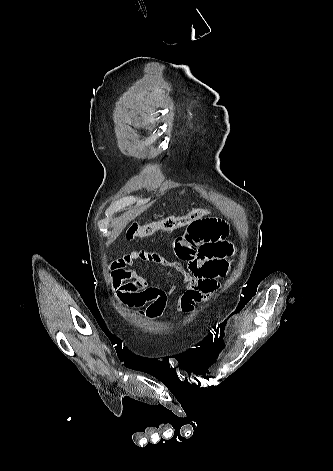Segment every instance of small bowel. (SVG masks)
<instances>
[{"label": "small bowel", "instance_id": "small-bowel-1", "mask_svg": "<svg viewBox=\"0 0 333 471\" xmlns=\"http://www.w3.org/2000/svg\"><path fill=\"white\" fill-rule=\"evenodd\" d=\"M228 234L229 225L224 219L206 215L188 225L175 240V253L185 264L148 250L120 257L111 265L115 298L122 305L136 308L142 319H160L175 287L150 285L134 268L137 262H144L152 264L158 272L171 276L173 271L181 277L185 290L177 300V311L191 314L197 303L211 300L221 286L219 279L229 271L234 246Z\"/></svg>", "mask_w": 333, "mask_h": 471}]
</instances>
